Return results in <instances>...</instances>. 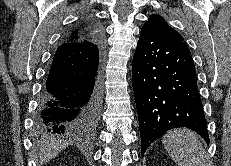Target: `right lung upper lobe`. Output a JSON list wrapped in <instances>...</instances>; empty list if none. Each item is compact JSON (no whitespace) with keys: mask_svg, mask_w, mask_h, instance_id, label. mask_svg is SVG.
<instances>
[{"mask_svg":"<svg viewBox=\"0 0 231 166\" xmlns=\"http://www.w3.org/2000/svg\"><path fill=\"white\" fill-rule=\"evenodd\" d=\"M94 35L89 29V20L78 23L64 38V42H88Z\"/></svg>","mask_w":231,"mask_h":166,"instance_id":"cb5924a9","label":"right lung upper lobe"}]
</instances>
